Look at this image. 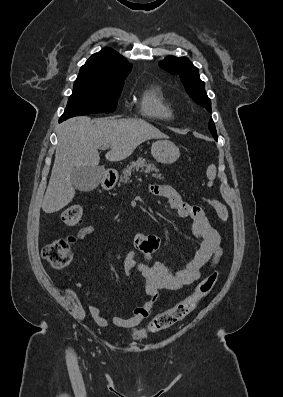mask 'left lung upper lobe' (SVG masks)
<instances>
[{"label": "left lung upper lobe", "instance_id": "obj_1", "mask_svg": "<svg viewBox=\"0 0 283 397\" xmlns=\"http://www.w3.org/2000/svg\"><path fill=\"white\" fill-rule=\"evenodd\" d=\"M159 66L171 74H178L187 93L192 99L211 111V102L205 91V83L200 80L199 70L186 57H169L159 63ZM208 128L214 139L217 138L213 120L208 123Z\"/></svg>", "mask_w": 283, "mask_h": 397}]
</instances>
